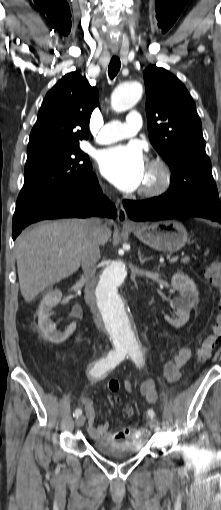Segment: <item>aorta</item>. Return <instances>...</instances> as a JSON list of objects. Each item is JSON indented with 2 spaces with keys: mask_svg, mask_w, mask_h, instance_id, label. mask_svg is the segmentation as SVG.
Returning <instances> with one entry per match:
<instances>
[{
  "mask_svg": "<svg viewBox=\"0 0 221 510\" xmlns=\"http://www.w3.org/2000/svg\"><path fill=\"white\" fill-rule=\"evenodd\" d=\"M143 93L138 82H125L117 86L111 96V106L116 112L131 109ZM127 279V269L121 260L112 261L95 284L101 321L115 349H138L139 338L130 309L121 294Z\"/></svg>",
  "mask_w": 221,
  "mask_h": 510,
  "instance_id": "obj_1",
  "label": "aorta"
}]
</instances>
